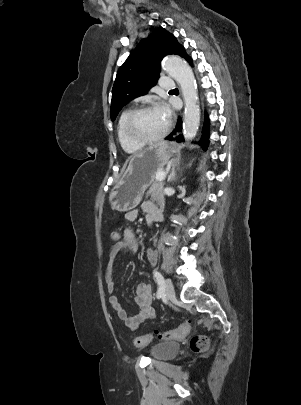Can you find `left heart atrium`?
I'll return each mask as SVG.
<instances>
[{
	"label": "left heart atrium",
	"instance_id": "left-heart-atrium-1",
	"mask_svg": "<svg viewBox=\"0 0 301 405\" xmlns=\"http://www.w3.org/2000/svg\"><path fill=\"white\" fill-rule=\"evenodd\" d=\"M156 110L160 113L166 120L170 118L171 111L165 103H160L157 105Z\"/></svg>",
	"mask_w": 301,
	"mask_h": 405
}]
</instances>
